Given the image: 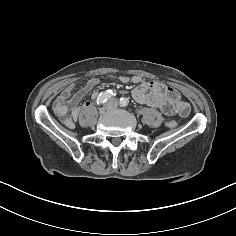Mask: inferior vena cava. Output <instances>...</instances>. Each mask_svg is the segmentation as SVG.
<instances>
[{
	"mask_svg": "<svg viewBox=\"0 0 236 236\" xmlns=\"http://www.w3.org/2000/svg\"><path fill=\"white\" fill-rule=\"evenodd\" d=\"M104 107L108 111L115 110L118 107V101L115 98H111L104 104Z\"/></svg>",
	"mask_w": 236,
	"mask_h": 236,
	"instance_id": "1",
	"label": "inferior vena cava"
}]
</instances>
